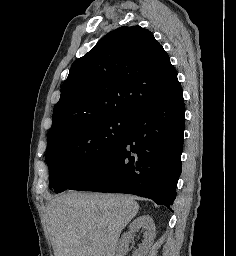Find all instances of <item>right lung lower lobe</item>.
I'll use <instances>...</instances> for the list:
<instances>
[{"mask_svg":"<svg viewBox=\"0 0 236 256\" xmlns=\"http://www.w3.org/2000/svg\"><path fill=\"white\" fill-rule=\"evenodd\" d=\"M184 124L180 85L147 104L121 144L68 189L139 195L172 211L181 174Z\"/></svg>","mask_w":236,"mask_h":256,"instance_id":"right-lung-lower-lobe-1","label":"right lung lower lobe"}]
</instances>
